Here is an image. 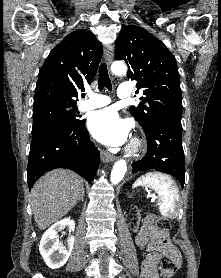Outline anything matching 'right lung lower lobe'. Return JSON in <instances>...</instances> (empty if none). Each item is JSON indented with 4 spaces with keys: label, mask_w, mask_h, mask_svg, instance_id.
I'll return each mask as SVG.
<instances>
[{
    "label": "right lung lower lobe",
    "mask_w": 221,
    "mask_h": 278,
    "mask_svg": "<svg viewBox=\"0 0 221 278\" xmlns=\"http://www.w3.org/2000/svg\"><path fill=\"white\" fill-rule=\"evenodd\" d=\"M100 153L90 141L85 120L74 127L53 126L32 135L27 182L32 188L38 178L55 168H68L93 181Z\"/></svg>",
    "instance_id": "98d812e1"
}]
</instances>
